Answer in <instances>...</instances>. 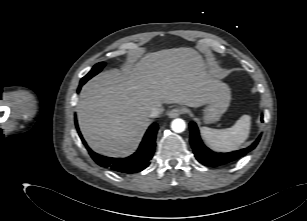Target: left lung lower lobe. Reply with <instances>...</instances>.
I'll use <instances>...</instances> for the list:
<instances>
[{"label": "left lung lower lobe", "mask_w": 307, "mask_h": 221, "mask_svg": "<svg viewBox=\"0 0 307 221\" xmlns=\"http://www.w3.org/2000/svg\"><path fill=\"white\" fill-rule=\"evenodd\" d=\"M190 143L193 148V152L195 154L196 159L206 165L211 167H217L221 165H225L228 163H232L244 155H246L248 152L253 150L257 144L259 143L260 137H258L252 145L245 149H241L235 152L230 153H216L211 151L209 148H207L199 135V130L197 128V125L194 122H190Z\"/></svg>", "instance_id": "obj_1"}]
</instances>
